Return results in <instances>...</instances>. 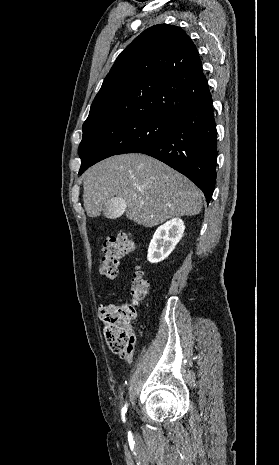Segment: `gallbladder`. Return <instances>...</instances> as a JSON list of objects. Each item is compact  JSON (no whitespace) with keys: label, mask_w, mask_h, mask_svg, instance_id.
I'll return each mask as SVG.
<instances>
[{"label":"gallbladder","mask_w":279,"mask_h":465,"mask_svg":"<svg viewBox=\"0 0 279 465\" xmlns=\"http://www.w3.org/2000/svg\"><path fill=\"white\" fill-rule=\"evenodd\" d=\"M126 203L122 198L114 197L106 202L103 214L108 219H117L122 216Z\"/></svg>","instance_id":"obj_1"}]
</instances>
